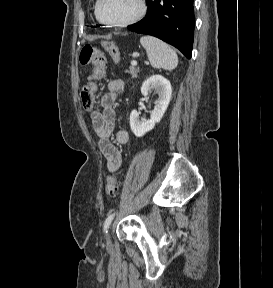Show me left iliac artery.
<instances>
[{
    "instance_id": "44dca946",
    "label": "left iliac artery",
    "mask_w": 273,
    "mask_h": 288,
    "mask_svg": "<svg viewBox=\"0 0 273 288\" xmlns=\"http://www.w3.org/2000/svg\"><path fill=\"white\" fill-rule=\"evenodd\" d=\"M116 212L108 215V217L106 218L105 222H104V226H103V230H104V233H107L108 232V228L115 216Z\"/></svg>"
}]
</instances>
